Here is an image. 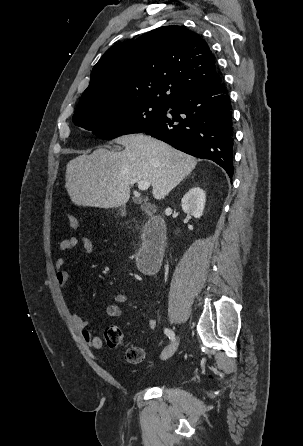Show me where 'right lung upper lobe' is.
<instances>
[{
    "label": "right lung upper lobe",
    "mask_w": 303,
    "mask_h": 446,
    "mask_svg": "<svg viewBox=\"0 0 303 446\" xmlns=\"http://www.w3.org/2000/svg\"><path fill=\"white\" fill-rule=\"evenodd\" d=\"M220 80L213 54L198 34L164 26L109 48L94 66L75 114L140 100L171 106Z\"/></svg>",
    "instance_id": "obj_1"
}]
</instances>
